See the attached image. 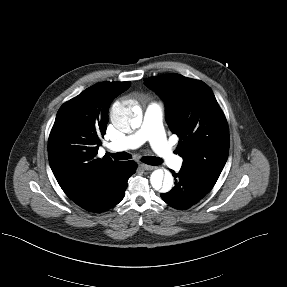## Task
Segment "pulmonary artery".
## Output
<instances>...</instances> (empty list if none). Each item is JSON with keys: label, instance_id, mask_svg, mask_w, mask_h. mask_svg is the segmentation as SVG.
I'll list each match as a JSON object with an SVG mask.
<instances>
[{"label": "pulmonary artery", "instance_id": "obj_1", "mask_svg": "<svg viewBox=\"0 0 287 287\" xmlns=\"http://www.w3.org/2000/svg\"><path fill=\"white\" fill-rule=\"evenodd\" d=\"M162 117V105L156 102L150 103L146 108L141 127L134 133L111 142L108 145L109 149L112 151L134 149L148 141L155 153L167 166L175 169L180 168L182 158L174 154L166 140L162 128Z\"/></svg>", "mask_w": 287, "mask_h": 287}]
</instances>
